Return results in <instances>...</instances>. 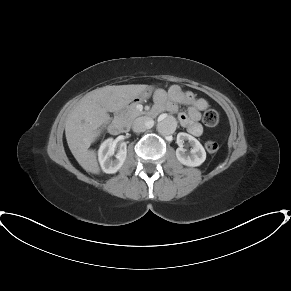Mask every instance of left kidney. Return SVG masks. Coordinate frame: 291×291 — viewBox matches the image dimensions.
Segmentation results:
<instances>
[{
    "mask_svg": "<svg viewBox=\"0 0 291 291\" xmlns=\"http://www.w3.org/2000/svg\"><path fill=\"white\" fill-rule=\"evenodd\" d=\"M187 141L191 146L190 152L183 148L184 142ZM178 148L176 149V157L178 161L189 167L200 166L206 159V152L201 143L193 136L180 132L177 135Z\"/></svg>",
    "mask_w": 291,
    "mask_h": 291,
    "instance_id": "1",
    "label": "left kidney"
}]
</instances>
